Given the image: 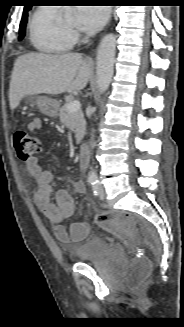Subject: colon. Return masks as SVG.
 <instances>
[{"instance_id":"obj_1","label":"colon","mask_w":184,"mask_h":327,"mask_svg":"<svg viewBox=\"0 0 184 327\" xmlns=\"http://www.w3.org/2000/svg\"><path fill=\"white\" fill-rule=\"evenodd\" d=\"M13 146L17 157L23 162H28L34 158L42 149L40 140L23 130L14 133ZM95 222L98 226L122 237L141 239L148 242L153 240L152 235L141 221L132 220L127 215L102 214L96 216ZM149 272L150 262L146 258L138 256L131 272V282L137 285L140 284L148 276Z\"/></svg>"}]
</instances>
